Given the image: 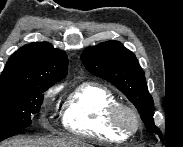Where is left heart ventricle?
<instances>
[{"instance_id":"b2bd125f","label":"left heart ventricle","mask_w":183,"mask_h":147,"mask_svg":"<svg viewBox=\"0 0 183 147\" xmlns=\"http://www.w3.org/2000/svg\"><path fill=\"white\" fill-rule=\"evenodd\" d=\"M123 119L127 124H131L133 122L131 115H129L128 113L123 114Z\"/></svg>"}]
</instances>
